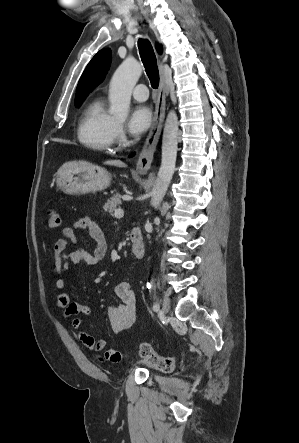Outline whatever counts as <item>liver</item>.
Returning a JSON list of instances; mask_svg holds the SVG:
<instances>
[{"label": "liver", "mask_w": 299, "mask_h": 443, "mask_svg": "<svg viewBox=\"0 0 299 443\" xmlns=\"http://www.w3.org/2000/svg\"><path fill=\"white\" fill-rule=\"evenodd\" d=\"M106 165L110 166H118V167H124L125 164L120 160H108L105 162Z\"/></svg>", "instance_id": "1"}]
</instances>
